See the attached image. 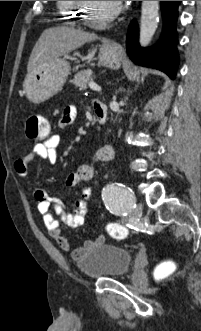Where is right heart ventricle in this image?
I'll use <instances>...</instances> for the list:
<instances>
[{
	"label": "right heart ventricle",
	"instance_id": "right-heart-ventricle-1",
	"mask_svg": "<svg viewBox=\"0 0 201 331\" xmlns=\"http://www.w3.org/2000/svg\"><path fill=\"white\" fill-rule=\"evenodd\" d=\"M56 4L61 20L67 22L68 24H75L77 22L79 16L77 1H57Z\"/></svg>",
	"mask_w": 201,
	"mask_h": 331
}]
</instances>
